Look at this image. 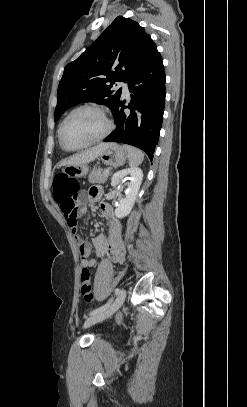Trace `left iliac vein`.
<instances>
[{"mask_svg":"<svg viewBox=\"0 0 247 407\" xmlns=\"http://www.w3.org/2000/svg\"><path fill=\"white\" fill-rule=\"evenodd\" d=\"M125 298H126V290L121 289L118 296L116 297L114 302L111 304V306H109L104 311L99 312V313L91 316L90 318H88L84 323V328L90 327V326L97 324V323L109 318L110 316H112L122 306V304L125 301Z\"/></svg>","mask_w":247,"mask_h":407,"instance_id":"4c4485c4","label":"left iliac vein"}]
</instances>
